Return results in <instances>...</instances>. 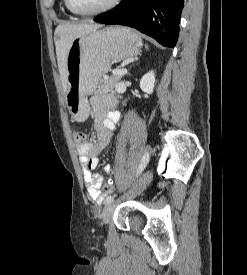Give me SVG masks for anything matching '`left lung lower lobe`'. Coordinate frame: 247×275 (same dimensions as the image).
<instances>
[{"mask_svg":"<svg viewBox=\"0 0 247 275\" xmlns=\"http://www.w3.org/2000/svg\"><path fill=\"white\" fill-rule=\"evenodd\" d=\"M184 0H122L114 9L94 18L105 24L129 26L174 48Z\"/></svg>","mask_w":247,"mask_h":275,"instance_id":"0a47b994","label":"left lung lower lobe"}]
</instances>
